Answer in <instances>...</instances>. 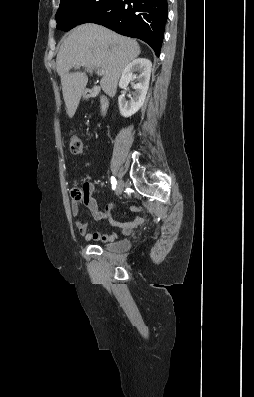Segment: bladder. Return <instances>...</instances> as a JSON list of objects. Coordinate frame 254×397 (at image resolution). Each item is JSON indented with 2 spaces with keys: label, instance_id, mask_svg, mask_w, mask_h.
Here are the masks:
<instances>
[{
  "label": "bladder",
  "instance_id": "bladder-1",
  "mask_svg": "<svg viewBox=\"0 0 254 397\" xmlns=\"http://www.w3.org/2000/svg\"><path fill=\"white\" fill-rule=\"evenodd\" d=\"M126 246V242L125 241H117V242H113L111 244H108L106 246L107 249L109 250H113V251H119L124 249Z\"/></svg>",
  "mask_w": 254,
  "mask_h": 397
}]
</instances>
